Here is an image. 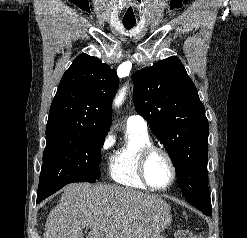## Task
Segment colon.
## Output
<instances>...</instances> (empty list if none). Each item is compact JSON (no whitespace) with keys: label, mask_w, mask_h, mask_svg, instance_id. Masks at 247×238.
<instances>
[{"label":"colon","mask_w":247,"mask_h":238,"mask_svg":"<svg viewBox=\"0 0 247 238\" xmlns=\"http://www.w3.org/2000/svg\"><path fill=\"white\" fill-rule=\"evenodd\" d=\"M175 238H201L189 230H179L175 234Z\"/></svg>","instance_id":"colon-1"}]
</instances>
